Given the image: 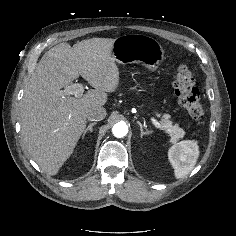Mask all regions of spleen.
I'll list each match as a JSON object with an SVG mask.
<instances>
[{"mask_svg":"<svg viewBox=\"0 0 236 236\" xmlns=\"http://www.w3.org/2000/svg\"><path fill=\"white\" fill-rule=\"evenodd\" d=\"M199 153L197 141L193 140L181 141L169 149V159L177 179L183 178L193 170Z\"/></svg>","mask_w":236,"mask_h":236,"instance_id":"1","label":"spleen"}]
</instances>
